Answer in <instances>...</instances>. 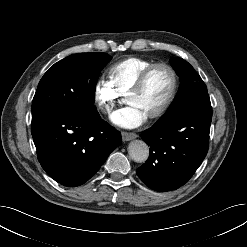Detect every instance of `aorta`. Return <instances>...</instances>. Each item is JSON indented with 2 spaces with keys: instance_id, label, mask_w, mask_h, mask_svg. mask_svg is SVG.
I'll return each mask as SVG.
<instances>
[{
  "instance_id": "obj_1",
  "label": "aorta",
  "mask_w": 247,
  "mask_h": 247,
  "mask_svg": "<svg viewBox=\"0 0 247 247\" xmlns=\"http://www.w3.org/2000/svg\"><path fill=\"white\" fill-rule=\"evenodd\" d=\"M128 154L137 163H143L148 159L149 147L142 140H134L128 145Z\"/></svg>"
}]
</instances>
